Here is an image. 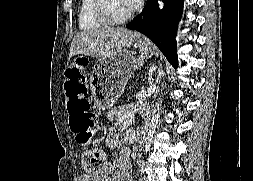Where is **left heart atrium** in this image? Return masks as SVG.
<instances>
[{
  "label": "left heart atrium",
  "instance_id": "1",
  "mask_svg": "<svg viewBox=\"0 0 253 181\" xmlns=\"http://www.w3.org/2000/svg\"><path fill=\"white\" fill-rule=\"evenodd\" d=\"M143 1L144 0H125V3L128 6V8L132 11L140 8L143 4Z\"/></svg>",
  "mask_w": 253,
  "mask_h": 181
}]
</instances>
